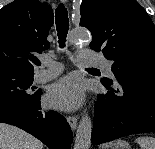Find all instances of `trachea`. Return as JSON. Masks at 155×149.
Returning a JSON list of instances; mask_svg holds the SVG:
<instances>
[{
	"label": "trachea",
	"instance_id": "1",
	"mask_svg": "<svg viewBox=\"0 0 155 149\" xmlns=\"http://www.w3.org/2000/svg\"><path fill=\"white\" fill-rule=\"evenodd\" d=\"M56 26L59 38L60 47L63 48L66 42V36L69 30V21L67 9L63 4H60L55 11ZM96 69V68H89Z\"/></svg>",
	"mask_w": 155,
	"mask_h": 149
}]
</instances>
